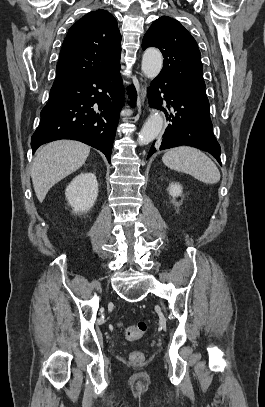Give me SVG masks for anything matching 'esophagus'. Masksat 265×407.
I'll list each match as a JSON object with an SVG mask.
<instances>
[{
  "mask_svg": "<svg viewBox=\"0 0 265 407\" xmlns=\"http://www.w3.org/2000/svg\"><path fill=\"white\" fill-rule=\"evenodd\" d=\"M141 101L143 102L144 101V98H145V87L144 86H142L141 87Z\"/></svg>",
  "mask_w": 265,
  "mask_h": 407,
  "instance_id": "34e87169",
  "label": "esophagus"
}]
</instances>
